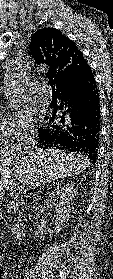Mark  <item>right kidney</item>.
<instances>
[{"instance_id":"obj_1","label":"right kidney","mask_w":113,"mask_h":279,"mask_svg":"<svg viewBox=\"0 0 113 279\" xmlns=\"http://www.w3.org/2000/svg\"><path fill=\"white\" fill-rule=\"evenodd\" d=\"M74 195L75 190L73 186L68 185L57 188L51 192L48 197V202L51 207H56V212L54 215V230L48 229L45 226L39 224L37 227V234L41 240H45L46 235H49L50 238H52L54 234L57 235L59 231H61L65 226V223L68 222L74 205Z\"/></svg>"}]
</instances>
